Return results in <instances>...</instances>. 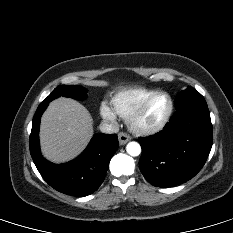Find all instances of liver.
<instances>
[{"instance_id": "1", "label": "liver", "mask_w": 233, "mask_h": 233, "mask_svg": "<svg viewBox=\"0 0 233 233\" xmlns=\"http://www.w3.org/2000/svg\"><path fill=\"white\" fill-rule=\"evenodd\" d=\"M93 119L79 102L69 98L52 101L40 126L41 150L48 160L62 163L73 159L93 135Z\"/></svg>"}]
</instances>
